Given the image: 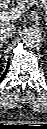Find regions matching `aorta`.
<instances>
[{"instance_id":"aorta-1","label":"aorta","mask_w":47,"mask_h":129,"mask_svg":"<svg viewBox=\"0 0 47 129\" xmlns=\"http://www.w3.org/2000/svg\"><path fill=\"white\" fill-rule=\"evenodd\" d=\"M43 35L39 29L28 28L23 32L22 41L27 47H38L43 43Z\"/></svg>"}]
</instances>
